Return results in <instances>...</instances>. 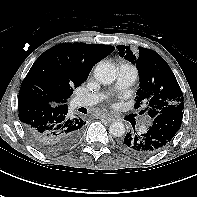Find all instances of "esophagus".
Segmentation results:
<instances>
[{
  "label": "esophagus",
  "instance_id": "obj_1",
  "mask_svg": "<svg viewBox=\"0 0 197 197\" xmlns=\"http://www.w3.org/2000/svg\"><path fill=\"white\" fill-rule=\"evenodd\" d=\"M100 118H103V119L107 120L108 122L115 121V117L113 115H111L110 113H104V114L100 115Z\"/></svg>",
  "mask_w": 197,
  "mask_h": 197
}]
</instances>
